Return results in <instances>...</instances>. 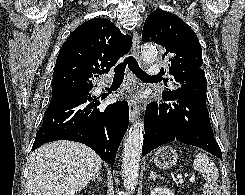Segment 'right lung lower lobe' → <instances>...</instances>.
Instances as JSON below:
<instances>
[{
	"label": "right lung lower lobe",
	"mask_w": 245,
	"mask_h": 195,
	"mask_svg": "<svg viewBox=\"0 0 245 195\" xmlns=\"http://www.w3.org/2000/svg\"><path fill=\"white\" fill-rule=\"evenodd\" d=\"M92 88L52 96L32 150L47 142L71 140L89 146L105 162L114 164L129 123L128 103L100 106L101 101L90 94Z\"/></svg>",
	"instance_id": "obj_1"
}]
</instances>
